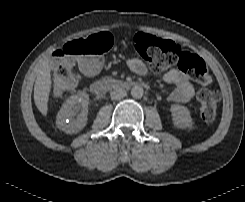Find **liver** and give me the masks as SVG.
<instances>
[{"mask_svg":"<svg viewBox=\"0 0 245 202\" xmlns=\"http://www.w3.org/2000/svg\"><path fill=\"white\" fill-rule=\"evenodd\" d=\"M51 73L47 61H43L38 67V75L34 85V101L42 115L48 113V99L51 91Z\"/></svg>","mask_w":245,"mask_h":202,"instance_id":"1","label":"liver"}]
</instances>
